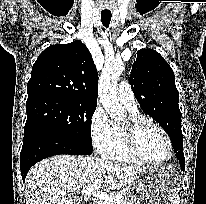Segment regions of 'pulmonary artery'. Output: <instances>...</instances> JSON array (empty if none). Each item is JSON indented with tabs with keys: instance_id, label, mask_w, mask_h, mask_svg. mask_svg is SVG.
Wrapping results in <instances>:
<instances>
[{
	"instance_id": "1",
	"label": "pulmonary artery",
	"mask_w": 206,
	"mask_h": 204,
	"mask_svg": "<svg viewBox=\"0 0 206 204\" xmlns=\"http://www.w3.org/2000/svg\"><path fill=\"white\" fill-rule=\"evenodd\" d=\"M117 94L121 102L130 109H137L136 99L129 83L120 82L117 87Z\"/></svg>"
}]
</instances>
